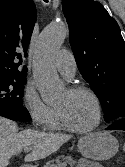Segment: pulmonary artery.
<instances>
[{
    "label": "pulmonary artery",
    "mask_w": 125,
    "mask_h": 167,
    "mask_svg": "<svg viewBox=\"0 0 125 167\" xmlns=\"http://www.w3.org/2000/svg\"><path fill=\"white\" fill-rule=\"evenodd\" d=\"M58 71L67 79H72L76 72V61L73 54L68 50H61L55 58Z\"/></svg>",
    "instance_id": "obj_1"
}]
</instances>
